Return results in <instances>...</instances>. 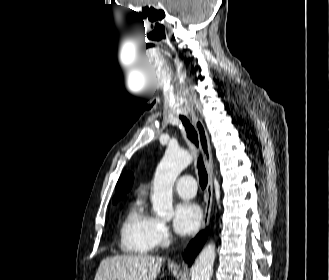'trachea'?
Here are the masks:
<instances>
[{
    "instance_id": "3493384b",
    "label": "trachea",
    "mask_w": 329,
    "mask_h": 280,
    "mask_svg": "<svg viewBox=\"0 0 329 280\" xmlns=\"http://www.w3.org/2000/svg\"><path fill=\"white\" fill-rule=\"evenodd\" d=\"M183 126L185 127L188 139L198 148V135L194 127L190 124L185 116H180ZM197 168L199 174V183L201 188L204 190L208 183V175L203 163L202 156H198Z\"/></svg>"
}]
</instances>
